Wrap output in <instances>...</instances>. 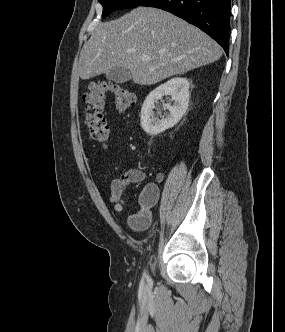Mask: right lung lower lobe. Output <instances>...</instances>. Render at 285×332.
<instances>
[{
	"mask_svg": "<svg viewBox=\"0 0 285 332\" xmlns=\"http://www.w3.org/2000/svg\"><path fill=\"white\" fill-rule=\"evenodd\" d=\"M142 6L171 12L197 26L229 53L230 0H147Z\"/></svg>",
	"mask_w": 285,
	"mask_h": 332,
	"instance_id": "1",
	"label": "right lung lower lobe"
}]
</instances>
